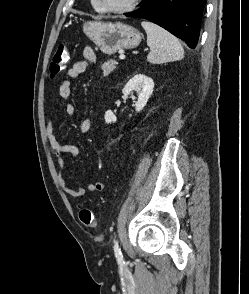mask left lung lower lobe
Returning a JSON list of instances; mask_svg holds the SVG:
<instances>
[{"instance_id": "obj_1", "label": "left lung lower lobe", "mask_w": 249, "mask_h": 294, "mask_svg": "<svg viewBox=\"0 0 249 294\" xmlns=\"http://www.w3.org/2000/svg\"><path fill=\"white\" fill-rule=\"evenodd\" d=\"M207 0H143L142 7L126 16L147 19L184 40L190 48L198 42Z\"/></svg>"}]
</instances>
